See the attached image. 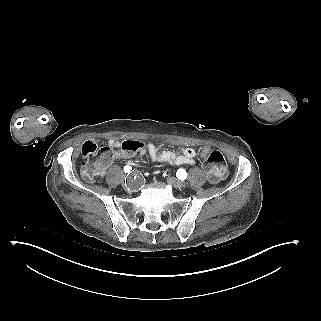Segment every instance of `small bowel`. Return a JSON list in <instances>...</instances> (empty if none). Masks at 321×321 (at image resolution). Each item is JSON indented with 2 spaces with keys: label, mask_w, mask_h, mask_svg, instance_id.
Segmentation results:
<instances>
[{
  "label": "small bowel",
  "mask_w": 321,
  "mask_h": 321,
  "mask_svg": "<svg viewBox=\"0 0 321 321\" xmlns=\"http://www.w3.org/2000/svg\"><path fill=\"white\" fill-rule=\"evenodd\" d=\"M97 139L87 140L82 147V152L88 149L97 150L99 144ZM104 155L105 159L102 162L100 168L97 170L93 178L101 177L105 174L107 168L117 159L128 158L131 154L124 152L121 149V142L116 139H107L105 141V146L100 150ZM140 155H147L151 161H157L165 164L172 165H193L196 163V158L199 156L193 148L180 149L177 152L163 150L159 145L149 144L144 148ZM85 178V177H84ZM90 180L88 178H85ZM92 179V178H91Z\"/></svg>",
  "instance_id": "1"
}]
</instances>
